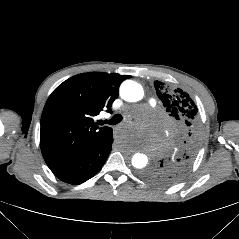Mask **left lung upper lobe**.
I'll return each mask as SVG.
<instances>
[{"label": "left lung upper lobe", "mask_w": 239, "mask_h": 239, "mask_svg": "<svg viewBox=\"0 0 239 239\" xmlns=\"http://www.w3.org/2000/svg\"><path fill=\"white\" fill-rule=\"evenodd\" d=\"M154 86L175 123L176 146L167 159L145 171L143 177L154 185L168 186L184 177L192 165L200 142V122L197 106L186 92L160 81Z\"/></svg>", "instance_id": "5c2ea615"}]
</instances>
